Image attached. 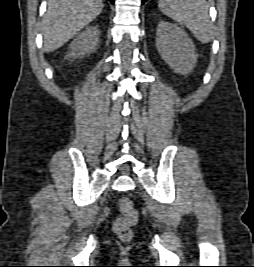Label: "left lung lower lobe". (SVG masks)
<instances>
[{"instance_id":"1","label":"left lung lower lobe","mask_w":254,"mask_h":267,"mask_svg":"<svg viewBox=\"0 0 254 267\" xmlns=\"http://www.w3.org/2000/svg\"><path fill=\"white\" fill-rule=\"evenodd\" d=\"M147 0H142V3H145Z\"/></svg>"}]
</instances>
